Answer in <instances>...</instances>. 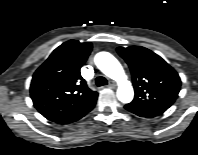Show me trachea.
<instances>
[{
    "mask_svg": "<svg viewBox=\"0 0 198 155\" xmlns=\"http://www.w3.org/2000/svg\"><path fill=\"white\" fill-rule=\"evenodd\" d=\"M96 85H97L98 87L107 85V80H106V78L101 77V76H100V77H97V78H96Z\"/></svg>",
    "mask_w": 198,
    "mask_h": 155,
    "instance_id": "1",
    "label": "trachea"
}]
</instances>
